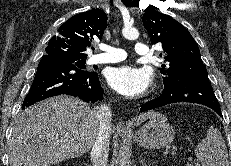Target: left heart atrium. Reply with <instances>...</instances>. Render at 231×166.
I'll use <instances>...</instances> for the list:
<instances>
[{
  "label": "left heart atrium",
  "mask_w": 231,
  "mask_h": 166,
  "mask_svg": "<svg viewBox=\"0 0 231 166\" xmlns=\"http://www.w3.org/2000/svg\"><path fill=\"white\" fill-rule=\"evenodd\" d=\"M107 82L118 93L132 98L147 91L152 82V73L147 68L123 65L108 71Z\"/></svg>",
  "instance_id": "obj_1"
}]
</instances>
